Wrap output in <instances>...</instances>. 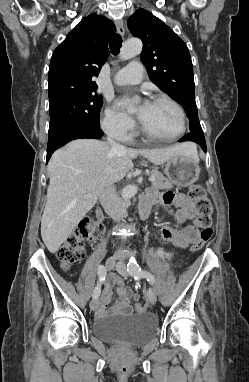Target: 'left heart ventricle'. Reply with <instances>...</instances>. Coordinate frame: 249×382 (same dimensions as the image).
Here are the masks:
<instances>
[{"instance_id":"left-heart-ventricle-1","label":"left heart ventricle","mask_w":249,"mask_h":382,"mask_svg":"<svg viewBox=\"0 0 249 382\" xmlns=\"http://www.w3.org/2000/svg\"><path fill=\"white\" fill-rule=\"evenodd\" d=\"M141 123L153 134L171 137L180 130V118L176 109L167 102H151L143 114Z\"/></svg>"}]
</instances>
